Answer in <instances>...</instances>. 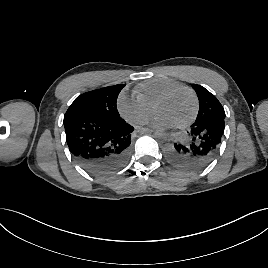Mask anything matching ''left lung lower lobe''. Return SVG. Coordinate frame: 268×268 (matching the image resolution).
Returning <instances> with one entry per match:
<instances>
[{"label":"left lung lower lobe","mask_w":268,"mask_h":268,"mask_svg":"<svg viewBox=\"0 0 268 268\" xmlns=\"http://www.w3.org/2000/svg\"><path fill=\"white\" fill-rule=\"evenodd\" d=\"M216 123L192 126L187 131L186 140L167 146L168 161L178 169L189 172L209 165L218 154L223 139L224 119H218Z\"/></svg>","instance_id":"0a47b994"}]
</instances>
